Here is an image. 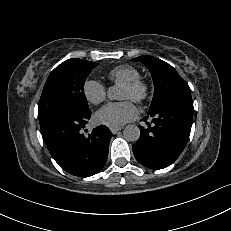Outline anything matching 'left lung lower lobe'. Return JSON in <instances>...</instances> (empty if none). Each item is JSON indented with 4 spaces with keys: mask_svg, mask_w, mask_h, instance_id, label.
I'll list each match as a JSON object with an SVG mask.
<instances>
[{
    "mask_svg": "<svg viewBox=\"0 0 231 231\" xmlns=\"http://www.w3.org/2000/svg\"><path fill=\"white\" fill-rule=\"evenodd\" d=\"M192 118L191 95H174L149 109L142 119L148 127H141L140 138L132 147L137 161L151 169L171 165L186 146Z\"/></svg>",
    "mask_w": 231,
    "mask_h": 231,
    "instance_id": "obj_1",
    "label": "left lung lower lobe"
}]
</instances>
